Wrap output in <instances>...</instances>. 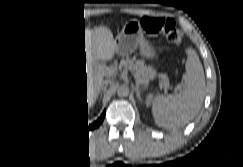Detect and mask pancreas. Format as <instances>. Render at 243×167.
I'll list each match as a JSON object with an SVG mask.
<instances>
[{
    "instance_id": "cf45deb5",
    "label": "pancreas",
    "mask_w": 243,
    "mask_h": 167,
    "mask_svg": "<svg viewBox=\"0 0 243 167\" xmlns=\"http://www.w3.org/2000/svg\"><path fill=\"white\" fill-rule=\"evenodd\" d=\"M120 68L130 70L138 84L147 85L150 80L155 79L157 76V71L153 67H147L142 60H136L135 58L122 60ZM161 82L164 87H169V79L166 74L161 75Z\"/></svg>"
}]
</instances>
